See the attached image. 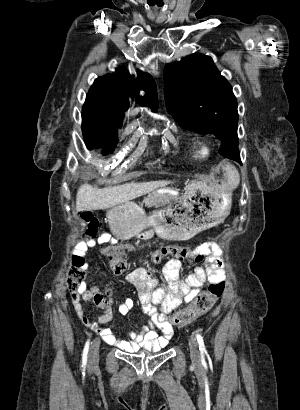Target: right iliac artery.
<instances>
[{
	"instance_id": "1",
	"label": "right iliac artery",
	"mask_w": 300,
	"mask_h": 410,
	"mask_svg": "<svg viewBox=\"0 0 300 410\" xmlns=\"http://www.w3.org/2000/svg\"><path fill=\"white\" fill-rule=\"evenodd\" d=\"M88 351H89V340L86 342L84 350H83L82 367H84V368H85L86 363H87Z\"/></svg>"
}]
</instances>
